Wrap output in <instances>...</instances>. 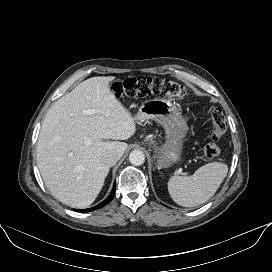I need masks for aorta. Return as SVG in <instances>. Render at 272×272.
<instances>
[{
	"label": "aorta",
	"mask_w": 272,
	"mask_h": 272,
	"mask_svg": "<svg viewBox=\"0 0 272 272\" xmlns=\"http://www.w3.org/2000/svg\"><path fill=\"white\" fill-rule=\"evenodd\" d=\"M129 161L134 166L142 165L145 161V155L140 150H133L129 155Z\"/></svg>",
	"instance_id": "obj_1"
}]
</instances>
